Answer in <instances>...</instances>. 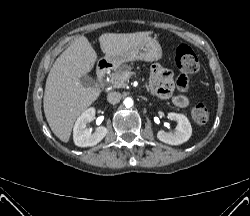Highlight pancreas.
Listing matches in <instances>:
<instances>
[{
    "instance_id": "cf45deb5",
    "label": "pancreas",
    "mask_w": 250,
    "mask_h": 216,
    "mask_svg": "<svg viewBox=\"0 0 250 216\" xmlns=\"http://www.w3.org/2000/svg\"><path fill=\"white\" fill-rule=\"evenodd\" d=\"M132 67L128 64L122 65L117 71L110 75V84L113 88H124L127 86V79L124 78V74L130 73Z\"/></svg>"
}]
</instances>
